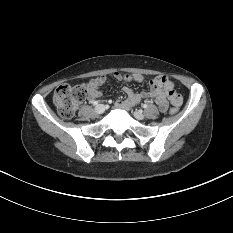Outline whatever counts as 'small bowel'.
<instances>
[{
	"label": "small bowel",
	"instance_id": "small-bowel-1",
	"mask_svg": "<svg viewBox=\"0 0 233 233\" xmlns=\"http://www.w3.org/2000/svg\"><path fill=\"white\" fill-rule=\"evenodd\" d=\"M113 77L119 81H134L141 83L145 80V77L141 74H127L114 73ZM107 78L105 76H99L92 79L86 87L88 88L87 98L90 102H93L96 98L101 96L100 88L105 84ZM150 91L135 92L130 87H124L123 92L126 95L124 100H117L115 107L118 109L129 110L134 105L138 104L142 99L152 98L157 104L161 112H166L169 107V100L171 103L178 106L182 102L181 96L175 91L170 90L174 88L173 83L165 76H158L150 82ZM178 98L177 102L175 101Z\"/></svg>",
	"mask_w": 233,
	"mask_h": 233
}]
</instances>
